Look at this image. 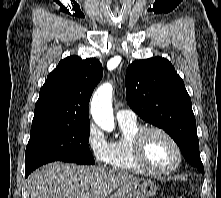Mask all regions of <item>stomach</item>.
Wrapping results in <instances>:
<instances>
[{"mask_svg": "<svg viewBox=\"0 0 221 198\" xmlns=\"http://www.w3.org/2000/svg\"><path fill=\"white\" fill-rule=\"evenodd\" d=\"M156 190L154 182L136 178L124 183L109 198H151Z\"/></svg>", "mask_w": 221, "mask_h": 198, "instance_id": "stomach-1", "label": "stomach"}]
</instances>
